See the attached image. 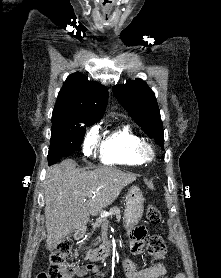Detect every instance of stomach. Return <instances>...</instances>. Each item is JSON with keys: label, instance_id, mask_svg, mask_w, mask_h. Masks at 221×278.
<instances>
[{"label": "stomach", "instance_id": "obj_1", "mask_svg": "<svg viewBox=\"0 0 221 278\" xmlns=\"http://www.w3.org/2000/svg\"><path fill=\"white\" fill-rule=\"evenodd\" d=\"M144 212V198L137 186H131L126 196L123 223L127 230L133 229L141 220Z\"/></svg>", "mask_w": 221, "mask_h": 278}]
</instances>
